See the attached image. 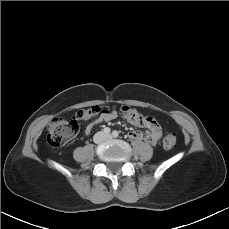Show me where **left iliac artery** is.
I'll use <instances>...</instances> for the list:
<instances>
[{
	"label": "left iliac artery",
	"mask_w": 229,
	"mask_h": 229,
	"mask_svg": "<svg viewBox=\"0 0 229 229\" xmlns=\"http://www.w3.org/2000/svg\"><path fill=\"white\" fill-rule=\"evenodd\" d=\"M112 135H113V137H118V136H119V132L116 131V130H114V131L112 132Z\"/></svg>",
	"instance_id": "1"
}]
</instances>
